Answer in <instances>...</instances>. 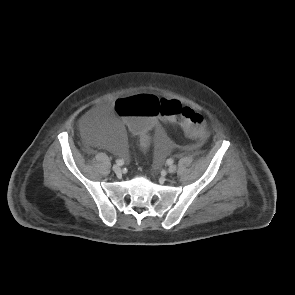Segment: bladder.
I'll list each match as a JSON object with an SVG mask.
<instances>
[{
  "label": "bladder",
  "mask_w": 295,
  "mask_h": 295,
  "mask_svg": "<svg viewBox=\"0 0 295 295\" xmlns=\"http://www.w3.org/2000/svg\"><path fill=\"white\" fill-rule=\"evenodd\" d=\"M77 129L85 141L98 148L106 149L117 158H124L129 153L126 135L122 132L121 126L113 113L104 106L92 105L85 108L78 117ZM154 133L158 138L154 144L156 148L155 169L162 171L166 155L173 150V145L171 138L165 136L161 126H156Z\"/></svg>",
  "instance_id": "31cf9c89"
}]
</instances>
